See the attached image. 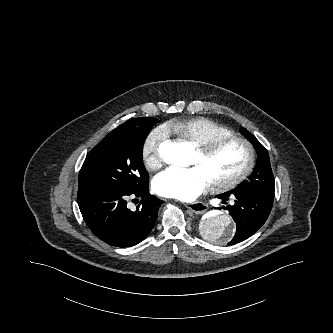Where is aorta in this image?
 Listing matches in <instances>:
<instances>
[{
	"instance_id": "1",
	"label": "aorta",
	"mask_w": 333,
	"mask_h": 333,
	"mask_svg": "<svg viewBox=\"0 0 333 333\" xmlns=\"http://www.w3.org/2000/svg\"><path fill=\"white\" fill-rule=\"evenodd\" d=\"M160 155L165 163L186 165L189 162L190 149L182 143H168L160 147ZM235 225L232 218L223 212H211L203 220L202 236L209 241L224 243L234 235Z\"/></svg>"
}]
</instances>
